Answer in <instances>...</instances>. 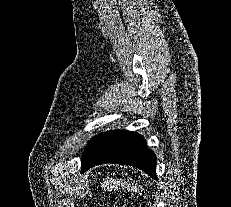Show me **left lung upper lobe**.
I'll list each match as a JSON object with an SVG mask.
<instances>
[{
    "mask_svg": "<svg viewBox=\"0 0 231 207\" xmlns=\"http://www.w3.org/2000/svg\"><path fill=\"white\" fill-rule=\"evenodd\" d=\"M94 139H95V137L92 138V139L88 142L87 147H86V149H85V152H84L83 155H82V158H83V156L86 154L87 150L89 149V147H90V145L92 144V142L94 141ZM82 158H81V159H82Z\"/></svg>",
    "mask_w": 231,
    "mask_h": 207,
    "instance_id": "1",
    "label": "left lung upper lobe"
}]
</instances>
